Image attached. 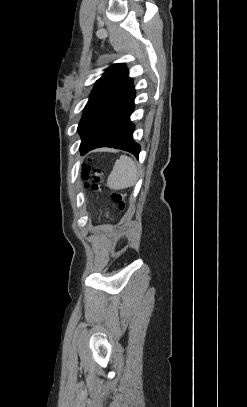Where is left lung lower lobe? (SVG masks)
<instances>
[{
	"mask_svg": "<svg viewBox=\"0 0 247 407\" xmlns=\"http://www.w3.org/2000/svg\"><path fill=\"white\" fill-rule=\"evenodd\" d=\"M135 89L131 85L119 95L95 120L81 142L82 154L99 148L113 147L139 157L140 145L134 142V125L130 115L134 110Z\"/></svg>",
	"mask_w": 247,
	"mask_h": 407,
	"instance_id": "1",
	"label": "left lung lower lobe"
}]
</instances>
